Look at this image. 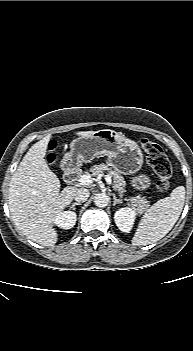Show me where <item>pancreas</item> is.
I'll list each match as a JSON object with an SVG mask.
<instances>
[{"instance_id": "obj_1", "label": "pancreas", "mask_w": 193, "mask_h": 351, "mask_svg": "<svg viewBox=\"0 0 193 351\" xmlns=\"http://www.w3.org/2000/svg\"><path fill=\"white\" fill-rule=\"evenodd\" d=\"M90 172H92L91 175L94 177L102 176L104 175V173H106L111 178H113L114 189L117 190L120 195H122V193L125 192L126 182L123 176L119 172L109 168L108 165L104 163L100 165H94L91 167ZM129 200L140 213L143 212L149 206V201H147L145 197L136 196V197H132Z\"/></svg>"}]
</instances>
